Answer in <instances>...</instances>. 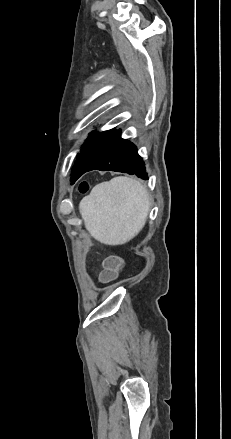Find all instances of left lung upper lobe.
<instances>
[{
	"mask_svg": "<svg viewBox=\"0 0 231 439\" xmlns=\"http://www.w3.org/2000/svg\"><path fill=\"white\" fill-rule=\"evenodd\" d=\"M115 131V129L101 133L93 131L90 134L87 142L81 147L80 153L77 154V161L75 162L71 173L72 183H74L82 175L84 170L90 166L103 144Z\"/></svg>",
	"mask_w": 231,
	"mask_h": 439,
	"instance_id": "obj_1",
	"label": "left lung upper lobe"
}]
</instances>
